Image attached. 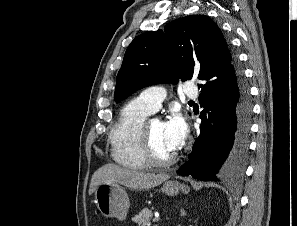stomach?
<instances>
[{"label":"stomach","mask_w":297,"mask_h":226,"mask_svg":"<svg viewBox=\"0 0 297 226\" xmlns=\"http://www.w3.org/2000/svg\"><path fill=\"white\" fill-rule=\"evenodd\" d=\"M162 191L168 196H176L179 192L188 193L189 187L177 181L165 180ZM95 203L104 216L126 219L129 198L118 183L100 184L95 190Z\"/></svg>","instance_id":"0dacf381"}]
</instances>
